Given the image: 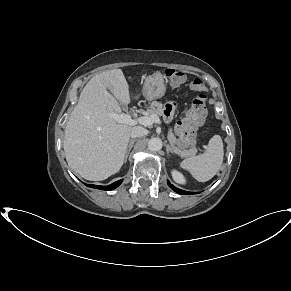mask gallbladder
I'll return each instance as SVG.
<instances>
[{"instance_id":"bac80fb5","label":"gallbladder","mask_w":291,"mask_h":291,"mask_svg":"<svg viewBox=\"0 0 291 291\" xmlns=\"http://www.w3.org/2000/svg\"><path fill=\"white\" fill-rule=\"evenodd\" d=\"M120 104L122 105L123 108H126V106L124 104H122V103H120Z\"/></svg>"}]
</instances>
